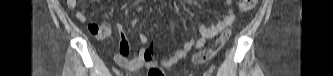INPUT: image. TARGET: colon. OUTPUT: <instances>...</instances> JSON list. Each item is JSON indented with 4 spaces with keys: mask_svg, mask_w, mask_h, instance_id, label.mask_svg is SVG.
Segmentation results:
<instances>
[{
    "mask_svg": "<svg viewBox=\"0 0 333 76\" xmlns=\"http://www.w3.org/2000/svg\"><path fill=\"white\" fill-rule=\"evenodd\" d=\"M256 2H257L256 0H242L239 2V8L242 11H249L255 6ZM229 38H230V31L225 30L216 40L214 48L206 49L196 54L193 57V61L197 64H202L211 60L216 54V52L227 43Z\"/></svg>",
    "mask_w": 333,
    "mask_h": 76,
    "instance_id": "colon-1",
    "label": "colon"
}]
</instances>
